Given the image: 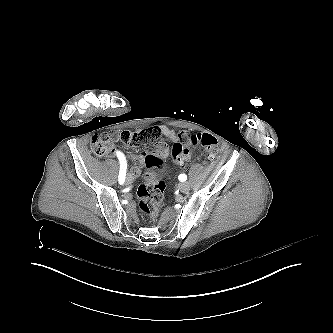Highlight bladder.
<instances>
[{
    "mask_svg": "<svg viewBox=\"0 0 333 333\" xmlns=\"http://www.w3.org/2000/svg\"><path fill=\"white\" fill-rule=\"evenodd\" d=\"M172 151V149L162 151L156 162L145 169L144 179L149 186L160 187L164 183L166 173L171 166Z\"/></svg>",
    "mask_w": 333,
    "mask_h": 333,
    "instance_id": "1",
    "label": "bladder"
}]
</instances>
